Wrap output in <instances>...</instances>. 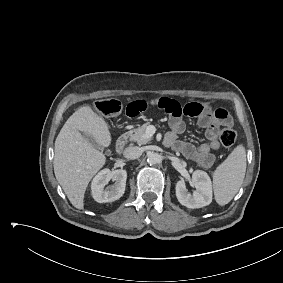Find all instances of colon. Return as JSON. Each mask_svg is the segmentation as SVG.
<instances>
[{"instance_id":"obj_1","label":"colon","mask_w":283,"mask_h":283,"mask_svg":"<svg viewBox=\"0 0 283 283\" xmlns=\"http://www.w3.org/2000/svg\"><path fill=\"white\" fill-rule=\"evenodd\" d=\"M122 104L116 99H102L94 103L96 112L105 117H114L121 113ZM237 139V134L232 128H224L220 131L219 140L221 144L231 149L234 147Z\"/></svg>"}]
</instances>
